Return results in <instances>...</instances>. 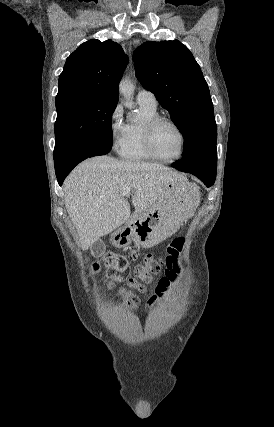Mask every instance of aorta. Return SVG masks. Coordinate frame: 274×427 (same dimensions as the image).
<instances>
[{
    "instance_id": "762f6f07",
    "label": "aorta",
    "mask_w": 274,
    "mask_h": 427,
    "mask_svg": "<svg viewBox=\"0 0 274 427\" xmlns=\"http://www.w3.org/2000/svg\"><path fill=\"white\" fill-rule=\"evenodd\" d=\"M134 88L133 82L128 77L123 78L119 84V92L124 96L126 100L125 106L128 108L133 106L132 96Z\"/></svg>"
}]
</instances>
